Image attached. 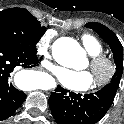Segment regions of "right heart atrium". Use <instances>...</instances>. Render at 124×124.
Listing matches in <instances>:
<instances>
[{
  "label": "right heart atrium",
  "mask_w": 124,
  "mask_h": 124,
  "mask_svg": "<svg viewBox=\"0 0 124 124\" xmlns=\"http://www.w3.org/2000/svg\"><path fill=\"white\" fill-rule=\"evenodd\" d=\"M53 33L51 31L46 32L37 43L38 53L44 58V65L51 69L53 65L51 63L52 54L50 52L52 45Z\"/></svg>",
  "instance_id": "d8ad5b80"
}]
</instances>
